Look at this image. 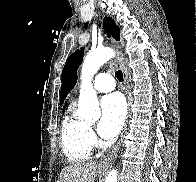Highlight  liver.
<instances>
[{
  "label": "liver",
  "instance_id": "1",
  "mask_svg": "<svg viewBox=\"0 0 196 182\" xmlns=\"http://www.w3.org/2000/svg\"><path fill=\"white\" fill-rule=\"evenodd\" d=\"M96 169V162L70 164L61 170L57 182H94Z\"/></svg>",
  "mask_w": 196,
  "mask_h": 182
}]
</instances>
